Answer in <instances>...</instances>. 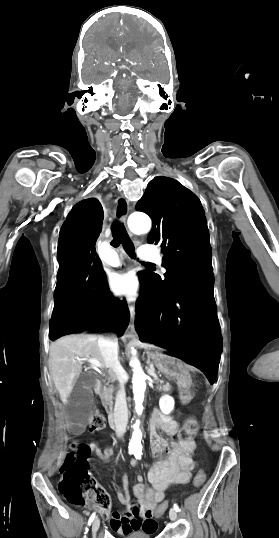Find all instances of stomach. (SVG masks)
<instances>
[{
	"instance_id": "0dacf381",
	"label": "stomach",
	"mask_w": 279,
	"mask_h": 538,
	"mask_svg": "<svg viewBox=\"0 0 279 538\" xmlns=\"http://www.w3.org/2000/svg\"><path fill=\"white\" fill-rule=\"evenodd\" d=\"M153 364L157 368L158 374H164L165 378H169L170 382H188L190 365L184 363L183 358H177L175 353H158L149 354ZM184 389L182 398L184 401L192 402L196 398V393L192 389L191 384L186 383L180 386Z\"/></svg>"
}]
</instances>
